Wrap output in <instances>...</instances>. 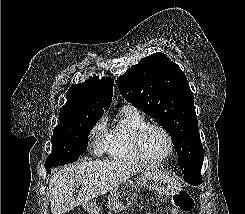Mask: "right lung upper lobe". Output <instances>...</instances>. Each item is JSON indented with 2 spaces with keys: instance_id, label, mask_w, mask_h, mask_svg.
Wrapping results in <instances>:
<instances>
[{
  "instance_id": "1",
  "label": "right lung upper lobe",
  "mask_w": 245,
  "mask_h": 214,
  "mask_svg": "<svg viewBox=\"0 0 245 214\" xmlns=\"http://www.w3.org/2000/svg\"><path fill=\"white\" fill-rule=\"evenodd\" d=\"M113 82L110 77L99 80L95 76L84 83L71 86L66 94L67 102L60 109L59 123L53 134L69 128L81 115L103 113L107 110L112 102Z\"/></svg>"
}]
</instances>
